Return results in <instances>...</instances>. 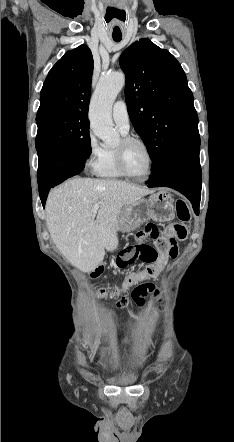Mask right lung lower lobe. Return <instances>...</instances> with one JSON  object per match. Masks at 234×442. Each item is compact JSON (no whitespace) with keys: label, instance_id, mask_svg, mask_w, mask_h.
Here are the masks:
<instances>
[{"label":"right lung lower lobe","instance_id":"98d812e1","mask_svg":"<svg viewBox=\"0 0 234 442\" xmlns=\"http://www.w3.org/2000/svg\"><path fill=\"white\" fill-rule=\"evenodd\" d=\"M38 186L43 207L49 190L80 173L85 166V159L73 150L66 148L44 149L38 152Z\"/></svg>","mask_w":234,"mask_h":442}]
</instances>
